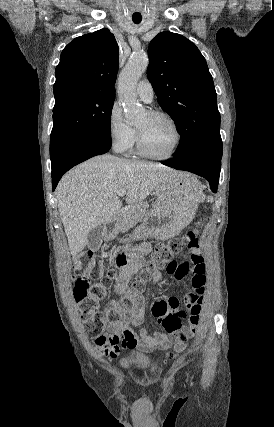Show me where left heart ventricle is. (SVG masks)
Masks as SVG:
<instances>
[{
    "instance_id": "left-heart-ventricle-1",
    "label": "left heart ventricle",
    "mask_w": 274,
    "mask_h": 427,
    "mask_svg": "<svg viewBox=\"0 0 274 427\" xmlns=\"http://www.w3.org/2000/svg\"><path fill=\"white\" fill-rule=\"evenodd\" d=\"M135 128L138 130L144 149L153 155H166L175 142V134L170 123L163 118H153L143 114Z\"/></svg>"
}]
</instances>
